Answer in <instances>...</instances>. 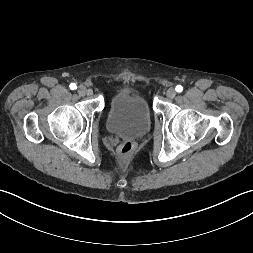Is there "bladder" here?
<instances>
[{
    "mask_svg": "<svg viewBox=\"0 0 253 253\" xmlns=\"http://www.w3.org/2000/svg\"><path fill=\"white\" fill-rule=\"evenodd\" d=\"M106 127L121 138L136 139L147 134L151 128V112L146 99L131 89L117 92L108 107Z\"/></svg>",
    "mask_w": 253,
    "mask_h": 253,
    "instance_id": "1",
    "label": "bladder"
}]
</instances>
